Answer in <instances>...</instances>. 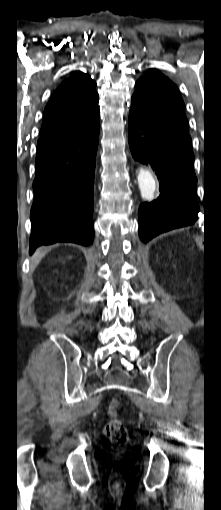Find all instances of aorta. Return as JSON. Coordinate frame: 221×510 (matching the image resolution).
<instances>
[{
	"label": "aorta",
	"instance_id": "obj_1",
	"mask_svg": "<svg viewBox=\"0 0 221 510\" xmlns=\"http://www.w3.org/2000/svg\"><path fill=\"white\" fill-rule=\"evenodd\" d=\"M138 184L142 198L150 200L154 197L156 182L150 171L142 168L139 170Z\"/></svg>",
	"mask_w": 221,
	"mask_h": 510
}]
</instances>
